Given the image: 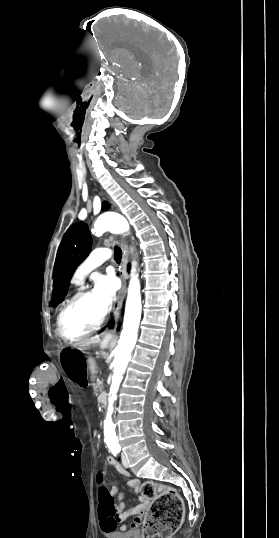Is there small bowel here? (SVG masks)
Listing matches in <instances>:
<instances>
[{"instance_id":"1","label":"small bowel","mask_w":279,"mask_h":538,"mask_svg":"<svg viewBox=\"0 0 279 538\" xmlns=\"http://www.w3.org/2000/svg\"><path fill=\"white\" fill-rule=\"evenodd\" d=\"M106 462L112 466H114L119 473L122 475H125L127 477L130 476L129 472L122 467V465L113 457H107ZM140 485V481L138 479H130L128 482V486L137 489ZM112 495L118 494V490L116 487H112L111 489ZM148 507L147 500L141 496L140 497V504L131 507L124 511V505L122 503H119L117 505V511L116 514L113 517L109 518H101V528L104 532H111L116 529L118 524L123 523L128 517L134 516L133 521L130 524H122L120 526V530L122 532L126 531H134L138 528V526L141 524L145 510Z\"/></svg>"}]
</instances>
